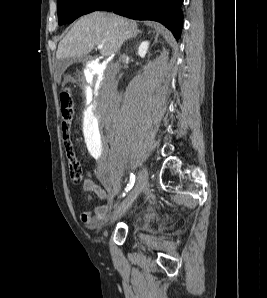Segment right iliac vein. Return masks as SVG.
<instances>
[{"label": "right iliac vein", "mask_w": 267, "mask_h": 298, "mask_svg": "<svg viewBox=\"0 0 267 298\" xmlns=\"http://www.w3.org/2000/svg\"><path fill=\"white\" fill-rule=\"evenodd\" d=\"M148 184V171L146 167L138 173L137 183L134 188L129 192L127 197L115 208L110 220V224L119 219L133 204L138 195L146 188Z\"/></svg>", "instance_id": "1"}]
</instances>
